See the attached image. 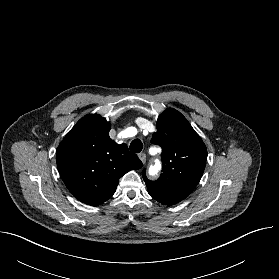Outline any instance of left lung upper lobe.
<instances>
[{"mask_svg":"<svg viewBox=\"0 0 279 279\" xmlns=\"http://www.w3.org/2000/svg\"><path fill=\"white\" fill-rule=\"evenodd\" d=\"M151 142L162 147L163 173L150 181L143 172L148 193L161 204L174 205L199 183L206 165V146L187 119L171 108L159 116Z\"/></svg>","mask_w":279,"mask_h":279,"instance_id":"5c2ea615","label":"left lung upper lobe"}]
</instances>
